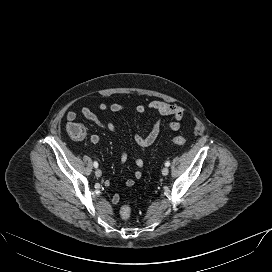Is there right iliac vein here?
<instances>
[{"instance_id":"obj_1","label":"right iliac vein","mask_w":272,"mask_h":272,"mask_svg":"<svg viewBox=\"0 0 272 272\" xmlns=\"http://www.w3.org/2000/svg\"><path fill=\"white\" fill-rule=\"evenodd\" d=\"M95 175H96L97 177H101V175H102L101 170H100V169H96V170H95Z\"/></svg>"}]
</instances>
